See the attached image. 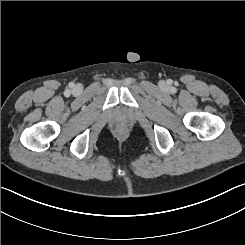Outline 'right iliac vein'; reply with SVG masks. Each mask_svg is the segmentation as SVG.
I'll use <instances>...</instances> for the list:
<instances>
[{"mask_svg":"<svg viewBox=\"0 0 245 245\" xmlns=\"http://www.w3.org/2000/svg\"><path fill=\"white\" fill-rule=\"evenodd\" d=\"M80 91H81V86H79V85H76L73 89V92H75V93H80Z\"/></svg>","mask_w":245,"mask_h":245,"instance_id":"obj_1","label":"right iliac vein"}]
</instances>
